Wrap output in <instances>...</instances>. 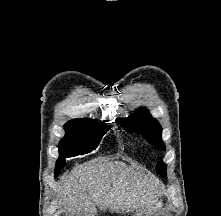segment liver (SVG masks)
<instances>
[{
    "mask_svg": "<svg viewBox=\"0 0 221 216\" xmlns=\"http://www.w3.org/2000/svg\"><path fill=\"white\" fill-rule=\"evenodd\" d=\"M159 181L123 162L93 159L77 165L61 177L59 192L72 216H94L95 205L103 211L129 213L157 202Z\"/></svg>",
    "mask_w": 221,
    "mask_h": 216,
    "instance_id": "1",
    "label": "liver"
}]
</instances>
